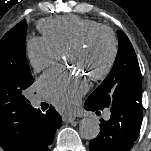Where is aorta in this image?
<instances>
[{"label": "aorta", "instance_id": "aorta-1", "mask_svg": "<svg viewBox=\"0 0 151 151\" xmlns=\"http://www.w3.org/2000/svg\"><path fill=\"white\" fill-rule=\"evenodd\" d=\"M79 131L82 138L92 140L98 136L100 126L96 119L84 118L80 122Z\"/></svg>", "mask_w": 151, "mask_h": 151}]
</instances>
